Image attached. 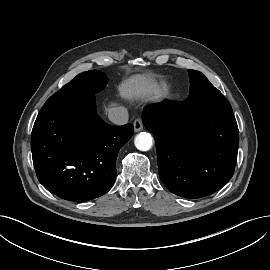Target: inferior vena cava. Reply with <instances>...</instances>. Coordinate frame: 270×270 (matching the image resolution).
Instances as JSON below:
<instances>
[{
  "instance_id": "inferior-vena-cava-1",
  "label": "inferior vena cava",
  "mask_w": 270,
  "mask_h": 270,
  "mask_svg": "<svg viewBox=\"0 0 270 270\" xmlns=\"http://www.w3.org/2000/svg\"><path fill=\"white\" fill-rule=\"evenodd\" d=\"M108 118L116 125H124L128 122V111L126 108L118 106L109 109Z\"/></svg>"
}]
</instances>
